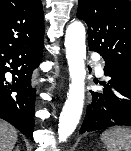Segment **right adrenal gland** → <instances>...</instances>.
Instances as JSON below:
<instances>
[{
    "label": "right adrenal gland",
    "mask_w": 131,
    "mask_h": 151,
    "mask_svg": "<svg viewBox=\"0 0 131 151\" xmlns=\"http://www.w3.org/2000/svg\"><path fill=\"white\" fill-rule=\"evenodd\" d=\"M15 151H20L18 146L16 147Z\"/></svg>",
    "instance_id": "obj_1"
}]
</instances>
